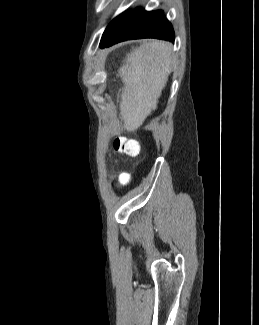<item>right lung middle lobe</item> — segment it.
Here are the masks:
<instances>
[{
    "instance_id": "right-lung-middle-lobe-1",
    "label": "right lung middle lobe",
    "mask_w": 259,
    "mask_h": 325,
    "mask_svg": "<svg viewBox=\"0 0 259 325\" xmlns=\"http://www.w3.org/2000/svg\"><path fill=\"white\" fill-rule=\"evenodd\" d=\"M125 14L126 13L120 14L119 16H117L116 18H114L109 23V25L107 26V28L105 29V31L103 33V36H102V39H101V42L100 43H102L103 41L107 40L112 35V33L115 31V29L117 28V26L119 25V23L124 18Z\"/></svg>"
}]
</instances>
